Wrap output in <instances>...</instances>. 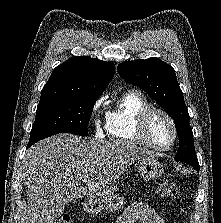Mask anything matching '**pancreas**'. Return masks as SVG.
I'll return each instance as SVG.
<instances>
[{
	"label": "pancreas",
	"instance_id": "cf45deb5",
	"mask_svg": "<svg viewBox=\"0 0 221 223\" xmlns=\"http://www.w3.org/2000/svg\"><path fill=\"white\" fill-rule=\"evenodd\" d=\"M115 198L117 199V202L109 201V203L107 204L105 208L107 212H113L125 206L126 203L124 202L123 197L116 196Z\"/></svg>",
	"mask_w": 221,
	"mask_h": 223
}]
</instances>
